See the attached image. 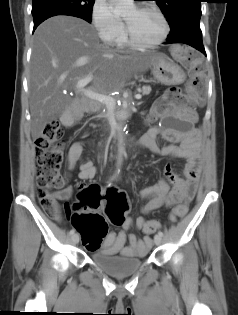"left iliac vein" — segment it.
Listing matches in <instances>:
<instances>
[{
	"mask_svg": "<svg viewBox=\"0 0 238 315\" xmlns=\"http://www.w3.org/2000/svg\"><path fill=\"white\" fill-rule=\"evenodd\" d=\"M154 242L156 245H160L162 243V237L160 235H155Z\"/></svg>",
	"mask_w": 238,
	"mask_h": 315,
	"instance_id": "obj_1",
	"label": "left iliac vein"
}]
</instances>
